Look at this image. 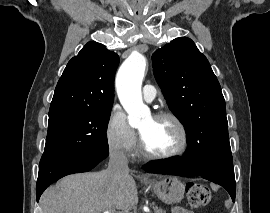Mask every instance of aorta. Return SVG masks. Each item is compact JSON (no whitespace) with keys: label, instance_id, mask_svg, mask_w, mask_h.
<instances>
[{"label":"aorta","instance_id":"762f6f07","mask_svg":"<svg viewBox=\"0 0 270 213\" xmlns=\"http://www.w3.org/2000/svg\"><path fill=\"white\" fill-rule=\"evenodd\" d=\"M146 58L140 53L131 54L121 65L116 78L119 100L128 113L130 126H138L150 116L149 108L143 103L141 85L146 69Z\"/></svg>","mask_w":270,"mask_h":213}]
</instances>
